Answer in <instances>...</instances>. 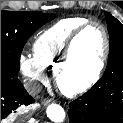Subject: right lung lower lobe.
I'll list each match as a JSON object with an SVG mask.
<instances>
[{"label":"right lung lower lobe","mask_w":123,"mask_h":123,"mask_svg":"<svg viewBox=\"0 0 123 123\" xmlns=\"http://www.w3.org/2000/svg\"><path fill=\"white\" fill-rule=\"evenodd\" d=\"M34 101L17 77H1V120L19 106L29 105Z\"/></svg>","instance_id":"98d812e1"}]
</instances>
